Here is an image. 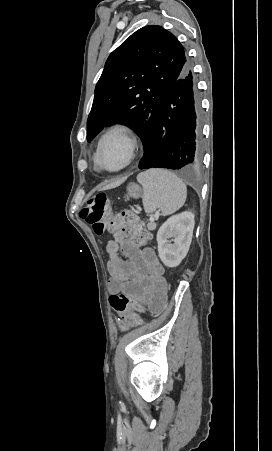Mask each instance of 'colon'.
<instances>
[{
    "label": "colon",
    "mask_w": 272,
    "mask_h": 451,
    "mask_svg": "<svg viewBox=\"0 0 272 451\" xmlns=\"http://www.w3.org/2000/svg\"><path fill=\"white\" fill-rule=\"evenodd\" d=\"M110 209L109 198L105 193H94L87 202L86 207L79 211V216L92 226L97 235L106 232L114 233L118 239H125L126 231H129L127 239L133 244H142L149 239L150 232L146 230L141 222L135 219L132 211H121L111 214L106 219L107 211ZM111 313H117L124 321L129 324H140L136 312L141 310L135 299L130 295H116L108 301Z\"/></svg>",
    "instance_id": "obj_1"
}]
</instances>
